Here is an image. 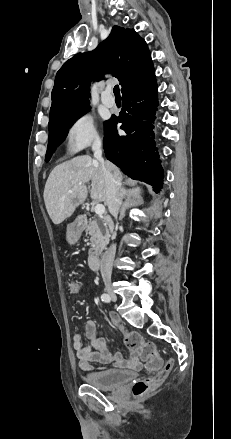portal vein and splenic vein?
<instances>
[{
  "instance_id": "obj_1",
  "label": "portal vein and splenic vein",
  "mask_w": 231,
  "mask_h": 439,
  "mask_svg": "<svg viewBox=\"0 0 231 439\" xmlns=\"http://www.w3.org/2000/svg\"><path fill=\"white\" fill-rule=\"evenodd\" d=\"M68 193H72V190H69ZM94 211L97 215L102 216L105 213V207L102 204H96L94 207Z\"/></svg>"
}]
</instances>
